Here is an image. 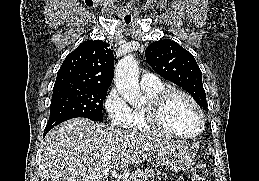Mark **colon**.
Listing matches in <instances>:
<instances>
[{"instance_id":"1","label":"colon","mask_w":259,"mask_h":181,"mask_svg":"<svg viewBox=\"0 0 259 181\" xmlns=\"http://www.w3.org/2000/svg\"><path fill=\"white\" fill-rule=\"evenodd\" d=\"M190 181H207V169L204 164H196L190 174Z\"/></svg>"}]
</instances>
